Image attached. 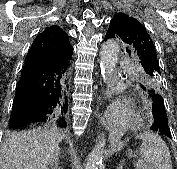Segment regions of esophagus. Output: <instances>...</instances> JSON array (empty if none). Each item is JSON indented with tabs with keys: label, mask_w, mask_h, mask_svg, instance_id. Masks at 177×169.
Listing matches in <instances>:
<instances>
[{
	"label": "esophagus",
	"mask_w": 177,
	"mask_h": 169,
	"mask_svg": "<svg viewBox=\"0 0 177 169\" xmlns=\"http://www.w3.org/2000/svg\"><path fill=\"white\" fill-rule=\"evenodd\" d=\"M103 91H105V86H104V84H101V86H100V95H102L101 100H105L104 107H103L104 115L101 117V121L105 122V121H109L108 108H109L111 97H109V92H103Z\"/></svg>",
	"instance_id": "1"
}]
</instances>
